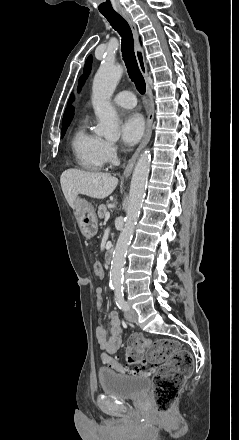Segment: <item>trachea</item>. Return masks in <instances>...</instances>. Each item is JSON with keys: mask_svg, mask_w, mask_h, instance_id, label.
Wrapping results in <instances>:
<instances>
[{"mask_svg": "<svg viewBox=\"0 0 239 440\" xmlns=\"http://www.w3.org/2000/svg\"><path fill=\"white\" fill-rule=\"evenodd\" d=\"M107 18L110 25L119 33L122 38L121 51L126 64L128 74L134 82L137 90L144 94L146 91L145 80L138 67L134 53V39L128 22L117 12L102 14Z\"/></svg>", "mask_w": 239, "mask_h": 440, "instance_id": "obj_1", "label": "trachea"}]
</instances>
